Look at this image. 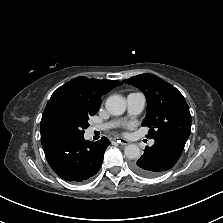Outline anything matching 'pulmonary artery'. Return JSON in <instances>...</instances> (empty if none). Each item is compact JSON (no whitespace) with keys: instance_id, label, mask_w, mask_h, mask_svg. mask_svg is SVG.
I'll return each mask as SVG.
<instances>
[{"instance_id":"1","label":"pulmonary artery","mask_w":223,"mask_h":223,"mask_svg":"<svg viewBox=\"0 0 223 223\" xmlns=\"http://www.w3.org/2000/svg\"><path fill=\"white\" fill-rule=\"evenodd\" d=\"M127 111L128 116L139 115L145 107V97L141 93H130L127 98ZM120 120H113L101 125H95L91 128L92 131L95 130H106L113 127H116L120 124ZM150 144H154V140L150 141Z\"/></svg>"}]
</instances>
